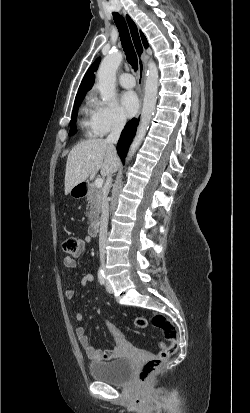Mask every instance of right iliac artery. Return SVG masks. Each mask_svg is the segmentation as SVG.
I'll list each match as a JSON object with an SVG mask.
<instances>
[{"label": "right iliac artery", "instance_id": "obj_1", "mask_svg": "<svg viewBox=\"0 0 250 413\" xmlns=\"http://www.w3.org/2000/svg\"><path fill=\"white\" fill-rule=\"evenodd\" d=\"M98 280L101 285H105L106 277L102 268L98 270Z\"/></svg>", "mask_w": 250, "mask_h": 413}]
</instances>
